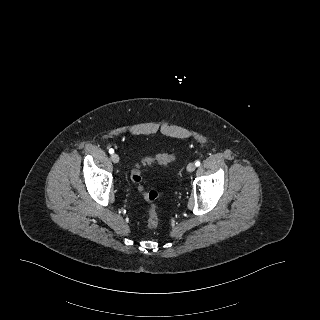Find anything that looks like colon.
Masks as SVG:
<instances>
[{
  "label": "colon",
  "instance_id": "5ec220e1",
  "mask_svg": "<svg viewBox=\"0 0 320 320\" xmlns=\"http://www.w3.org/2000/svg\"><path fill=\"white\" fill-rule=\"evenodd\" d=\"M176 159L175 154H157L155 156L146 157L141 161L143 165H150L154 162L159 164H167ZM140 165H136L130 174V179L137 188V190L143 195L144 199L150 204L147 216V227L156 228L159 224V215H158V192L156 190H145L141 184V174H140Z\"/></svg>",
  "mask_w": 320,
  "mask_h": 320
}]
</instances>
